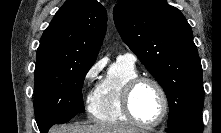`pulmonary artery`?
<instances>
[{
    "mask_svg": "<svg viewBox=\"0 0 221 133\" xmlns=\"http://www.w3.org/2000/svg\"><path fill=\"white\" fill-rule=\"evenodd\" d=\"M117 60L124 61L128 64L134 65L136 61V56L131 53L121 54L117 57Z\"/></svg>",
    "mask_w": 221,
    "mask_h": 133,
    "instance_id": "obj_1",
    "label": "pulmonary artery"
}]
</instances>
